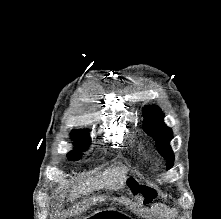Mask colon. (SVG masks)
I'll use <instances>...</instances> for the list:
<instances>
[{
	"label": "colon",
	"mask_w": 221,
	"mask_h": 219,
	"mask_svg": "<svg viewBox=\"0 0 221 219\" xmlns=\"http://www.w3.org/2000/svg\"><path fill=\"white\" fill-rule=\"evenodd\" d=\"M134 189L139 195L146 197L148 200L153 199V195L147 189H145L143 186L134 185Z\"/></svg>",
	"instance_id": "1"
}]
</instances>
